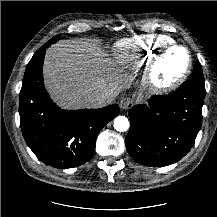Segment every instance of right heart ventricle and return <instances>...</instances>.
<instances>
[{
  "instance_id": "e07e8e85",
  "label": "right heart ventricle",
  "mask_w": 217,
  "mask_h": 217,
  "mask_svg": "<svg viewBox=\"0 0 217 217\" xmlns=\"http://www.w3.org/2000/svg\"><path fill=\"white\" fill-rule=\"evenodd\" d=\"M172 42L173 40L165 35L121 39L114 45V57L121 65L136 66L150 62L155 53Z\"/></svg>"
}]
</instances>
